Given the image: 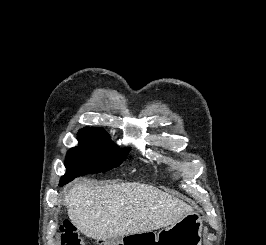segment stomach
I'll use <instances>...</instances> for the list:
<instances>
[{"label":"stomach","instance_id":"stomach-1","mask_svg":"<svg viewBox=\"0 0 266 245\" xmlns=\"http://www.w3.org/2000/svg\"><path fill=\"white\" fill-rule=\"evenodd\" d=\"M202 219L198 213H187L181 221L170 227H164L157 235L155 233H128V237H121L123 242H135L142 245V241L154 242L156 245H201ZM107 245V243H105Z\"/></svg>","mask_w":266,"mask_h":245}]
</instances>
